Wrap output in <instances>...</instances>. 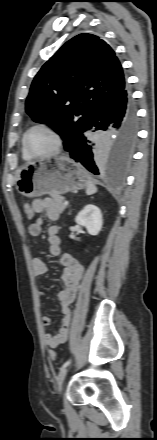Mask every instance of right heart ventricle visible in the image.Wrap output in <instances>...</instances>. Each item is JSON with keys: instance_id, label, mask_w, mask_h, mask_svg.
<instances>
[{"instance_id": "1", "label": "right heart ventricle", "mask_w": 157, "mask_h": 440, "mask_svg": "<svg viewBox=\"0 0 157 440\" xmlns=\"http://www.w3.org/2000/svg\"><path fill=\"white\" fill-rule=\"evenodd\" d=\"M22 156L25 158V159H30L31 157H30V155L24 150V147H23V140H22Z\"/></svg>"}]
</instances>
